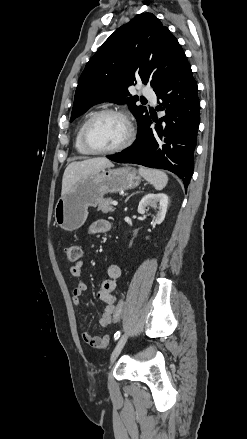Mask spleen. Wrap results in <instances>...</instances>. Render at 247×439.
<instances>
[{
  "label": "spleen",
  "mask_w": 247,
  "mask_h": 439,
  "mask_svg": "<svg viewBox=\"0 0 247 439\" xmlns=\"http://www.w3.org/2000/svg\"><path fill=\"white\" fill-rule=\"evenodd\" d=\"M140 175L150 182L156 190H162L168 183V176L161 170L139 168Z\"/></svg>",
  "instance_id": "spleen-1"
}]
</instances>
